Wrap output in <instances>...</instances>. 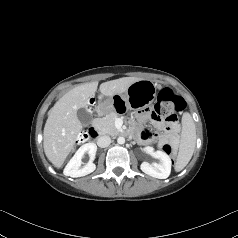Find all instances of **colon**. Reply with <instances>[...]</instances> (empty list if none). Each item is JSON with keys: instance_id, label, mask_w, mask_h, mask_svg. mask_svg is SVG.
I'll return each instance as SVG.
<instances>
[{"instance_id": "1", "label": "colon", "mask_w": 238, "mask_h": 238, "mask_svg": "<svg viewBox=\"0 0 238 238\" xmlns=\"http://www.w3.org/2000/svg\"><path fill=\"white\" fill-rule=\"evenodd\" d=\"M186 106L184 99L175 94L169 88H163L157 95V101L152 110H157L163 117L169 127L174 128L177 126V114L182 112ZM89 137L88 132H83L79 136V143H84ZM162 150L171 155L174 152V145L170 142H165L161 146Z\"/></svg>"}]
</instances>
